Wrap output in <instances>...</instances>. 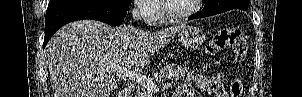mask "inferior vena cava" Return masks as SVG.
I'll return each mask as SVG.
<instances>
[{"instance_id":"inferior-vena-cava-1","label":"inferior vena cava","mask_w":302,"mask_h":97,"mask_svg":"<svg viewBox=\"0 0 302 97\" xmlns=\"http://www.w3.org/2000/svg\"><path fill=\"white\" fill-rule=\"evenodd\" d=\"M132 17H133L134 20H140L141 19V14H140L137 7L135 9H133Z\"/></svg>"}]
</instances>
